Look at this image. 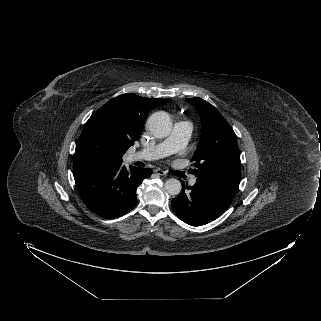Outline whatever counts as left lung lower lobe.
Masks as SVG:
<instances>
[{
	"mask_svg": "<svg viewBox=\"0 0 321 321\" xmlns=\"http://www.w3.org/2000/svg\"><path fill=\"white\" fill-rule=\"evenodd\" d=\"M240 180L241 173H212L199 176L195 185L189 187L180 180L182 190L172 200L173 211L189 225L207 224L227 210L237 193Z\"/></svg>",
	"mask_w": 321,
	"mask_h": 321,
	"instance_id": "0a47b994",
	"label": "left lung lower lobe"
}]
</instances>
